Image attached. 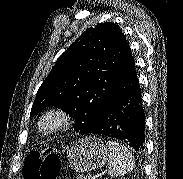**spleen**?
Segmentation results:
<instances>
[{
    "label": "spleen",
    "mask_w": 183,
    "mask_h": 179,
    "mask_svg": "<svg viewBox=\"0 0 183 179\" xmlns=\"http://www.w3.org/2000/svg\"><path fill=\"white\" fill-rule=\"evenodd\" d=\"M109 172L112 177L122 176L133 170L135 161L130 151L122 144L109 140Z\"/></svg>",
    "instance_id": "1"
}]
</instances>
